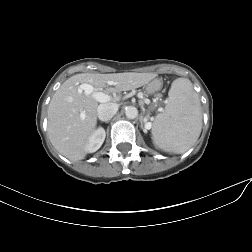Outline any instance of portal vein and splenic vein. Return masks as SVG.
<instances>
[{
	"mask_svg": "<svg viewBox=\"0 0 252 252\" xmlns=\"http://www.w3.org/2000/svg\"><path fill=\"white\" fill-rule=\"evenodd\" d=\"M80 89L81 91H84L87 95L92 94L93 97L100 103H105L108 102L110 100V96L108 94H105L103 92H98L97 90H95V88L87 83H83L80 85ZM83 117V116H82ZM149 128H150V124Z\"/></svg>",
	"mask_w": 252,
	"mask_h": 252,
	"instance_id": "obj_1",
	"label": "portal vein and splenic vein"
}]
</instances>
